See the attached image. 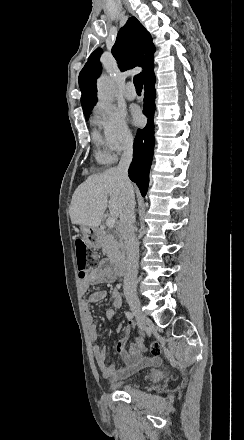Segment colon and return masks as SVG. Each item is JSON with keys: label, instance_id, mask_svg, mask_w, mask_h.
Listing matches in <instances>:
<instances>
[{"label": "colon", "instance_id": "colon-1", "mask_svg": "<svg viewBox=\"0 0 244 440\" xmlns=\"http://www.w3.org/2000/svg\"><path fill=\"white\" fill-rule=\"evenodd\" d=\"M75 248L78 275L80 278H84L86 275V271L90 267H94L99 264V257L95 251H89L87 249L85 241H76ZM147 349L149 354L153 356H160L163 353V345L159 341L149 342L147 345Z\"/></svg>", "mask_w": 244, "mask_h": 440}]
</instances>
